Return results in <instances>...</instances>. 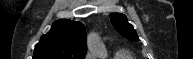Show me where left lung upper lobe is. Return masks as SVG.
I'll list each match as a JSON object with an SVG mask.
<instances>
[{"label": "left lung upper lobe", "instance_id": "obj_1", "mask_svg": "<svg viewBox=\"0 0 193 59\" xmlns=\"http://www.w3.org/2000/svg\"><path fill=\"white\" fill-rule=\"evenodd\" d=\"M110 20L114 28L129 41H138L137 32L133 26L128 23L127 18L124 14L114 13L110 15Z\"/></svg>", "mask_w": 193, "mask_h": 59}]
</instances>
